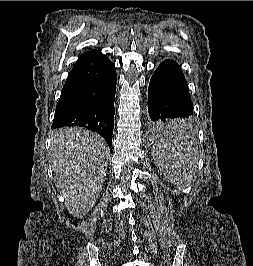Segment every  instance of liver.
<instances>
[{
  "mask_svg": "<svg viewBox=\"0 0 253 266\" xmlns=\"http://www.w3.org/2000/svg\"><path fill=\"white\" fill-rule=\"evenodd\" d=\"M108 154L105 140L87 129L62 128L52 134L54 182L72 216L82 218L96 203L106 176Z\"/></svg>",
  "mask_w": 253,
  "mask_h": 266,
  "instance_id": "6515ba94",
  "label": "liver"
}]
</instances>
